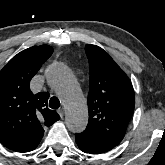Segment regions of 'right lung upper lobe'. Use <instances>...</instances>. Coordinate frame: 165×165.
Instances as JSON below:
<instances>
[{"instance_id":"1","label":"right lung upper lobe","mask_w":165,"mask_h":165,"mask_svg":"<svg viewBox=\"0 0 165 165\" xmlns=\"http://www.w3.org/2000/svg\"><path fill=\"white\" fill-rule=\"evenodd\" d=\"M52 53L50 46H33L14 56L0 71V142L16 152L33 150L43 137V126L60 119L46 107L49 93L33 94L29 87Z\"/></svg>"}]
</instances>
